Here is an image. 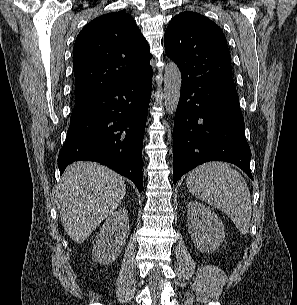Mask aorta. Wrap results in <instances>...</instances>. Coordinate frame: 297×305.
Instances as JSON below:
<instances>
[{
  "label": "aorta",
  "mask_w": 297,
  "mask_h": 305,
  "mask_svg": "<svg viewBox=\"0 0 297 305\" xmlns=\"http://www.w3.org/2000/svg\"><path fill=\"white\" fill-rule=\"evenodd\" d=\"M181 86L182 77L180 69L171 61L165 66L164 72V105L170 115L177 109Z\"/></svg>",
  "instance_id": "1"
}]
</instances>
